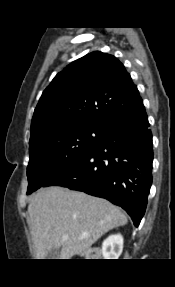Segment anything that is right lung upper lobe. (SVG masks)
<instances>
[{
    "label": "right lung upper lobe",
    "instance_id": "1",
    "mask_svg": "<svg viewBox=\"0 0 175 287\" xmlns=\"http://www.w3.org/2000/svg\"><path fill=\"white\" fill-rule=\"evenodd\" d=\"M143 104L123 64L92 52L58 73L33 114L30 143L82 124H99L129 114Z\"/></svg>",
    "mask_w": 175,
    "mask_h": 287
}]
</instances>
